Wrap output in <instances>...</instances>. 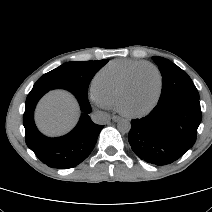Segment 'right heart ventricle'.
Returning a JSON list of instances; mask_svg holds the SVG:
<instances>
[{"label": "right heart ventricle", "mask_w": 212, "mask_h": 212, "mask_svg": "<svg viewBox=\"0 0 212 212\" xmlns=\"http://www.w3.org/2000/svg\"><path fill=\"white\" fill-rule=\"evenodd\" d=\"M142 61L127 59L114 60L104 66L94 78V86L99 90L112 104L117 101L120 89L128 74Z\"/></svg>", "instance_id": "obj_1"}]
</instances>
